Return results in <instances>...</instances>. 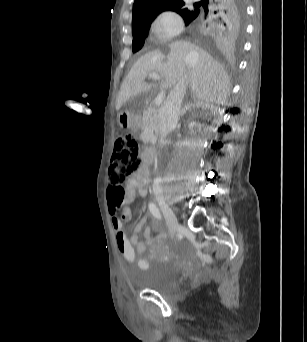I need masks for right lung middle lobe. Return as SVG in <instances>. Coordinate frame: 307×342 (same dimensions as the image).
I'll return each instance as SVG.
<instances>
[{
  "mask_svg": "<svg viewBox=\"0 0 307 342\" xmlns=\"http://www.w3.org/2000/svg\"><path fill=\"white\" fill-rule=\"evenodd\" d=\"M146 36H147V32L139 33L133 36V42H132L133 52H137L138 50L142 48Z\"/></svg>",
  "mask_w": 307,
  "mask_h": 342,
  "instance_id": "right-lung-middle-lobe-1",
  "label": "right lung middle lobe"
}]
</instances>
